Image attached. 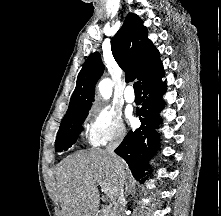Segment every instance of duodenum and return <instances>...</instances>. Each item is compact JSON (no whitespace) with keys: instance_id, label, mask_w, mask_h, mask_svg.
Masks as SVG:
<instances>
[{"instance_id":"410a0bca","label":"duodenum","mask_w":221,"mask_h":216,"mask_svg":"<svg viewBox=\"0 0 221 216\" xmlns=\"http://www.w3.org/2000/svg\"><path fill=\"white\" fill-rule=\"evenodd\" d=\"M93 216H103V215H102L101 211H96V212L93 214Z\"/></svg>"}]
</instances>
